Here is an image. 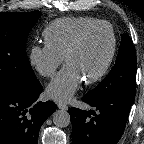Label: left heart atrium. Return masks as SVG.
I'll return each mask as SVG.
<instances>
[{
    "mask_svg": "<svg viewBox=\"0 0 144 144\" xmlns=\"http://www.w3.org/2000/svg\"><path fill=\"white\" fill-rule=\"evenodd\" d=\"M82 77L71 65L67 64L47 87V94L57 101H68L78 89Z\"/></svg>",
    "mask_w": 144,
    "mask_h": 144,
    "instance_id": "1",
    "label": "left heart atrium"
}]
</instances>
